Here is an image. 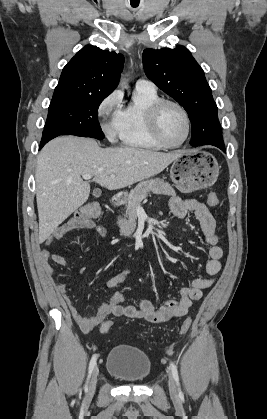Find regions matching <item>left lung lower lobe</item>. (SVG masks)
<instances>
[{"label":"left lung lower lobe","instance_id":"1","mask_svg":"<svg viewBox=\"0 0 267 419\" xmlns=\"http://www.w3.org/2000/svg\"><path fill=\"white\" fill-rule=\"evenodd\" d=\"M193 147L201 146V145H214L218 148H220L222 151H225L224 143L220 144L215 142V137H212L210 135H207L205 139L198 140L196 143L191 144Z\"/></svg>","mask_w":267,"mask_h":419}]
</instances>
